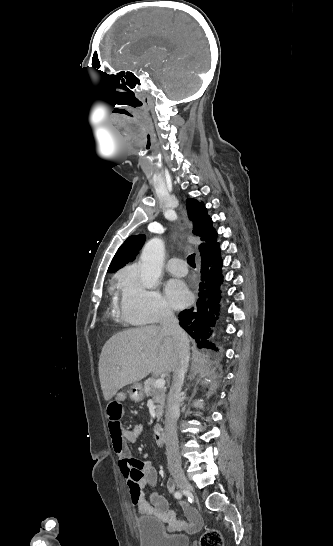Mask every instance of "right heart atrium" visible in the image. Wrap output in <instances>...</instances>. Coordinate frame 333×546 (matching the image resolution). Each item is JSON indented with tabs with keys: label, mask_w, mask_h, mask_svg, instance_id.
<instances>
[{
	"label": "right heart atrium",
	"mask_w": 333,
	"mask_h": 546,
	"mask_svg": "<svg viewBox=\"0 0 333 546\" xmlns=\"http://www.w3.org/2000/svg\"><path fill=\"white\" fill-rule=\"evenodd\" d=\"M120 286V314L126 323H159L173 317V312L161 293L144 286L137 272H124L120 277Z\"/></svg>",
	"instance_id": "obj_1"
}]
</instances>
